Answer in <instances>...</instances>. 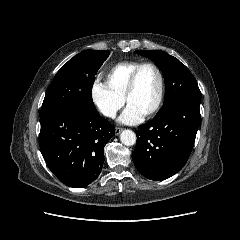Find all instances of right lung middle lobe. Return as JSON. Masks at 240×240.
<instances>
[{
    "label": "right lung middle lobe",
    "instance_id": "right-lung-middle-lobe-1",
    "mask_svg": "<svg viewBox=\"0 0 240 240\" xmlns=\"http://www.w3.org/2000/svg\"><path fill=\"white\" fill-rule=\"evenodd\" d=\"M109 54V51L86 50L63 65L46 91L40 116L58 109L97 113L92 86L97 71Z\"/></svg>",
    "mask_w": 240,
    "mask_h": 240
}]
</instances>
